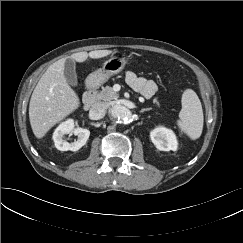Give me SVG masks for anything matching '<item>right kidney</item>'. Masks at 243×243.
I'll return each mask as SVG.
<instances>
[{"label": "right kidney", "instance_id": "ca27d5eb", "mask_svg": "<svg viewBox=\"0 0 243 243\" xmlns=\"http://www.w3.org/2000/svg\"><path fill=\"white\" fill-rule=\"evenodd\" d=\"M66 134H74L78 137L74 142H67L63 139ZM90 136V131L84 128H75L74 120L68 119L62 122L53 133L55 147L60 151H77L84 146Z\"/></svg>", "mask_w": 243, "mask_h": 243}]
</instances>
